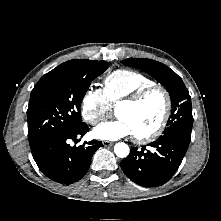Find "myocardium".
<instances>
[{
  "label": "myocardium",
  "mask_w": 221,
  "mask_h": 221,
  "mask_svg": "<svg viewBox=\"0 0 221 221\" xmlns=\"http://www.w3.org/2000/svg\"><path fill=\"white\" fill-rule=\"evenodd\" d=\"M154 92H160L163 95L164 100H165L164 112H163V115L159 124L156 126L154 130L144 135H133V138L137 143L153 142L165 130V127L170 118L171 109H172V98H171L169 91L162 85L153 84L151 86L140 89L139 91L132 94L131 96L122 99L115 105V109L123 105L137 106L141 102H143L150 94Z\"/></svg>",
  "instance_id": "obj_1"
}]
</instances>
